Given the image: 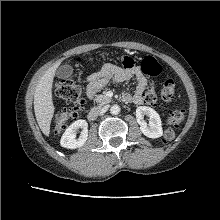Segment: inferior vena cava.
I'll return each instance as SVG.
<instances>
[{
	"label": "inferior vena cava",
	"mask_w": 220,
	"mask_h": 220,
	"mask_svg": "<svg viewBox=\"0 0 220 220\" xmlns=\"http://www.w3.org/2000/svg\"><path fill=\"white\" fill-rule=\"evenodd\" d=\"M106 110H107L106 107H103V108L97 107V108H93L91 110V112L94 113V114L103 115L106 112Z\"/></svg>",
	"instance_id": "602c4592"
}]
</instances>
